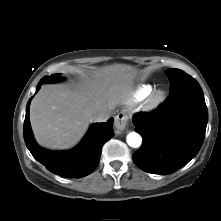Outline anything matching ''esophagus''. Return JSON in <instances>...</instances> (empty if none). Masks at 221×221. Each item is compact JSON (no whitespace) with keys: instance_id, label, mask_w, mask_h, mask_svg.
<instances>
[{"instance_id":"esophagus-1","label":"esophagus","mask_w":221,"mask_h":221,"mask_svg":"<svg viewBox=\"0 0 221 221\" xmlns=\"http://www.w3.org/2000/svg\"><path fill=\"white\" fill-rule=\"evenodd\" d=\"M127 124H128V116L125 113L120 112L115 116L114 126L116 129V132L118 133L123 132Z\"/></svg>"}]
</instances>
